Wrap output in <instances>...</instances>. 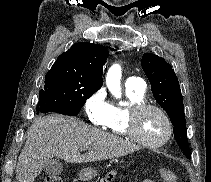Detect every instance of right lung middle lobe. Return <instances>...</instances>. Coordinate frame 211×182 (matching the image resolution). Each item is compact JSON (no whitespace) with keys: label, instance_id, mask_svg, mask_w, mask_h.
<instances>
[{"label":"right lung middle lobe","instance_id":"right-lung-middle-lobe-1","mask_svg":"<svg viewBox=\"0 0 211 182\" xmlns=\"http://www.w3.org/2000/svg\"><path fill=\"white\" fill-rule=\"evenodd\" d=\"M101 86L81 81L60 70H50L45 77L44 89L39 92V100H53L70 116H75L86 100Z\"/></svg>","mask_w":211,"mask_h":182}]
</instances>
